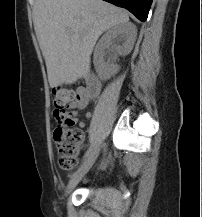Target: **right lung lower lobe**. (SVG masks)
Wrapping results in <instances>:
<instances>
[{"instance_id": "98d812e1", "label": "right lung lower lobe", "mask_w": 202, "mask_h": 217, "mask_svg": "<svg viewBox=\"0 0 202 217\" xmlns=\"http://www.w3.org/2000/svg\"><path fill=\"white\" fill-rule=\"evenodd\" d=\"M116 6L126 8L140 21H146L152 0H104Z\"/></svg>"}]
</instances>
